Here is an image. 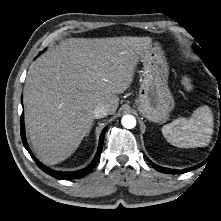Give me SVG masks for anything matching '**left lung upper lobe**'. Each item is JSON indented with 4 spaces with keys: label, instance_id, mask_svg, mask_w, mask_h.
Segmentation results:
<instances>
[{
    "label": "left lung upper lobe",
    "instance_id": "5c2ea615",
    "mask_svg": "<svg viewBox=\"0 0 221 221\" xmlns=\"http://www.w3.org/2000/svg\"><path fill=\"white\" fill-rule=\"evenodd\" d=\"M194 49H195V51H196L199 55H201V57L203 58L202 50H201L198 46H195V45H194Z\"/></svg>",
    "mask_w": 221,
    "mask_h": 221
}]
</instances>
